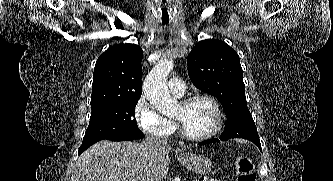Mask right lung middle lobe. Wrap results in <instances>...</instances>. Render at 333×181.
Listing matches in <instances>:
<instances>
[{
    "instance_id": "right-lung-middle-lobe-1",
    "label": "right lung middle lobe",
    "mask_w": 333,
    "mask_h": 181,
    "mask_svg": "<svg viewBox=\"0 0 333 181\" xmlns=\"http://www.w3.org/2000/svg\"><path fill=\"white\" fill-rule=\"evenodd\" d=\"M137 102L138 99L123 100L93 107L81 146L103 139L121 141L144 137L135 120Z\"/></svg>"
}]
</instances>
